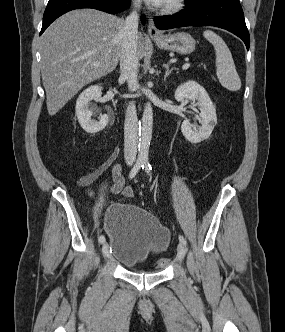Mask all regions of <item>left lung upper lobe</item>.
<instances>
[{
  "mask_svg": "<svg viewBox=\"0 0 285 332\" xmlns=\"http://www.w3.org/2000/svg\"><path fill=\"white\" fill-rule=\"evenodd\" d=\"M194 1H197V0H186L185 2L190 3V2H194Z\"/></svg>",
  "mask_w": 285,
  "mask_h": 332,
  "instance_id": "5c2ea615",
  "label": "left lung upper lobe"
}]
</instances>
